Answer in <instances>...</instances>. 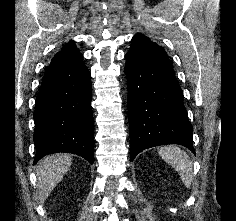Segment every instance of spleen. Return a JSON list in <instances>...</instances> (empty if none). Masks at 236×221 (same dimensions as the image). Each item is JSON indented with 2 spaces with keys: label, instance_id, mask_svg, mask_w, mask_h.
<instances>
[{
  "label": "spleen",
  "instance_id": "1",
  "mask_svg": "<svg viewBox=\"0 0 236 221\" xmlns=\"http://www.w3.org/2000/svg\"><path fill=\"white\" fill-rule=\"evenodd\" d=\"M165 162L170 164L180 175L184 185L189 188L192 182V162L186 152L177 146H163L158 151Z\"/></svg>",
  "mask_w": 236,
  "mask_h": 221
}]
</instances>
